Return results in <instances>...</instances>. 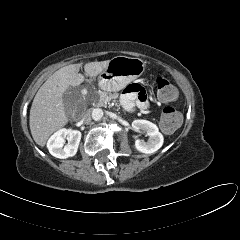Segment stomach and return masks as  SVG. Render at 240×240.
<instances>
[{
    "label": "stomach",
    "mask_w": 240,
    "mask_h": 240,
    "mask_svg": "<svg viewBox=\"0 0 240 240\" xmlns=\"http://www.w3.org/2000/svg\"><path fill=\"white\" fill-rule=\"evenodd\" d=\"M144 70L145 62L142 59L116 56L99 74V87L105 91H119L140 77Z\"/></svg>",
    "instance_id": "0dacf381"
}]
</instances>
